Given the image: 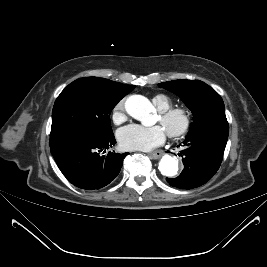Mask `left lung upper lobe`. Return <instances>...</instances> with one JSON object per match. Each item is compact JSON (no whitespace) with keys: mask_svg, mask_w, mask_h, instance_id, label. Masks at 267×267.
Wrapping results in <instances>:
<instances>
[{"mask_svg":"<svg viewBox=\"0 0 267 267\" xmlns=\"http://www.w3.org/2000/svg\"><path fill=\"white\" fill-rule=\"evenodd\" d=\"M179 96L193 113L190 134L211 128L228 129L221 96L199 80H173L158 84Z\"/></svg>","mask_w":267,"mask_h":267,"instance_id":"obj_1","label":"left lung upper lobe"}]
</instances>
